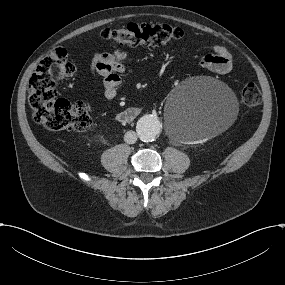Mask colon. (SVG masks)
<instances>
[{
  "label": "colon",
  "mask_w": 285,
  "mask_h": 285,
  "mask_svg": "<svg viewBox=\"0 0 285 285\" xmlns=\"http://www.w3.org/2000/svg\"><path fill=\"white\" fill-rule=\"evenodd\" d=\"M183 34L181 28L165 23H130L121 28L101 31V36L112 45L145 44L152 47L172 42ZM75 72L76 66L68 60L67 51L56 48L41 60L30 79L28 103L33 118L50 131H85L91 126L89 110L83 102L72 103L57 95V81L71 77ZM260 101L259 87L254 83L246 84L241 93L242 104L252 108Z\"/></svg>",
  "instance_id": "1"
}]
</instances>
